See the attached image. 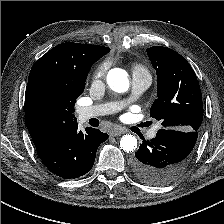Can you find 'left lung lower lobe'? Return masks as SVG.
<instances>
[{
	"instance_id": "left-lung-lower-lobe-1",
	"label": "left lung lower lobe",
	"mask_w": 224,
	"mask_h": 224,
	"mask_svg": "<svg viewBox=\"0 0 224 224\" xmlns=\"http://www.w3.org/2000/svg\"><path fill=\"white\" fill-rule=\"evenodd\" d=\"M198 132L160 129L156 137L144 140L132 160L136 177L149 185H165L185 170Z\"/></svg>"
}]
</instances>
